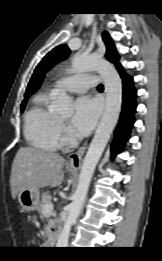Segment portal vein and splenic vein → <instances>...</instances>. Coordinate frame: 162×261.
Here are the masks:
<instances>
[{
    "mask_svg": "<svg viewBox=\"0 0 162 261\" xmlns=\"http://www.w3.org/2000/svg\"><path fill=\"white\" fill-rule=\"evenodd\" d=\"M53 210V204L52 203H47L44 205V213L45 214H50Z\"/></svg>",
    "mask_w": 162,
    "mask_h": 261,
    "instance_id": "1",
    "label": "portal vein and splenic vein"
}]
</instances>
